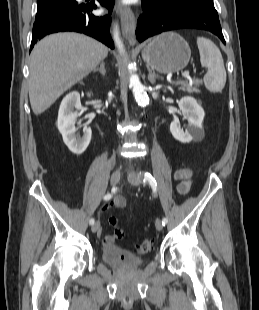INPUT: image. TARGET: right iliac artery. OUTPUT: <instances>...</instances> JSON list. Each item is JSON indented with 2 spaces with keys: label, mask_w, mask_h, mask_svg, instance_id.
Listing matches in <instances>:
<instances>
[{
  "label": "right iliac artery",
  "mask_w": 259,
  "mask_h": 310,
  "mask_svg": "<svg viewBox=\"0 0 259 310\" xmlns=\"http://www.w3.org/2000/svg\"><path fill=\"white\" fill-rule=\"evenodd\" d=\"M112 191L115 192L116 189L114 188V189H112ZM111 197H112V194L107 193V194L104 196V200H109V199H111ZM94 222H95V221H94L93 218H91L90 221H89L90 225H93Z\"/></svg>",
  "instance_id": "obj_1"
}]
</instances>
